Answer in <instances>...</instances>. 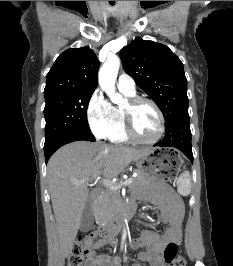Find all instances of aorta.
<instances>
[{
  "label": "aorta",
  "mask_w": 233,
  "mask_h": 266,
  "mask_svg": "<svg viewBox=\"0 0 233 266\" xmlns=\"http://www.w3.org/2000/svg\"><path fill=\"white\" fill-rule=\"evenodd\" d=\"M119 67L120 59L117 56H111L105 61L98 74L100 87L115 104H122L123 102L122 96L116 92L115 88Z\"/></svg>",
  "instance_id": "1"
}]
</instances>
